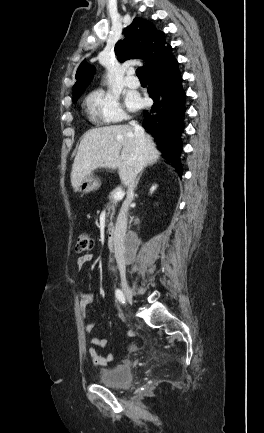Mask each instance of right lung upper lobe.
<instances>
[{"label":"right lung upper lobe","mask_w":264,"mask_h":433,"mask_svg":"<svg viewBox=\"0 0 264 433\" xmlns=\"http://www.w3.org/2000/svg\"><path fill=\"white\" fill-rule=\"evenodd\" d=\"M124 37L117 42L114 51L121 60L142 59L144 74L171 57L172 47L164 40V33L157 31L153 24L141 18H135L123 30ZM95 73L94 66L83 61L76 72L77 82L73 86V100L79 98Z\"/></svg>","instance_id":"cb5924a9"}]
</instances>
